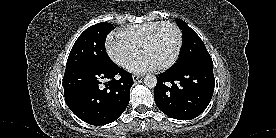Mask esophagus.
<instances>
[{"label":"esophagus","instance_id":"34e87169","mask_svg":"<svg viewBox=\"0 0 276 138\" xmlns=\"http://www.w3.org/2000/svg\"><path fill=\"white\" fill-rule=\"evenodd\" d=\"M132 79H133L134 82H136L137 80L141 79V76L135 74V75L132 76Z\"/></svg>","mask_w":276,"mask_h":138}]
</instances>
